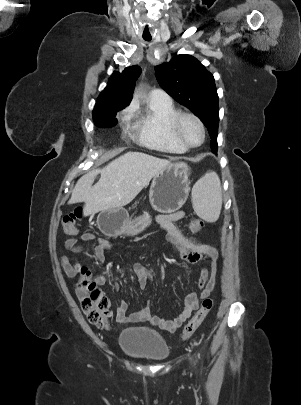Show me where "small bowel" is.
Segmentation results:
<instances>
[{
    "instance_id": "c3829d8e",
    "label": "small bowel",
    "mask_w": 301,
    "mask_h": 405,
    "mask_svg": "<svg viewBox=\"0 0 301 405\" xmlns=\"http://www.w3.org/2000/svg\"><path fill=\"white\" fill-rule=\"evenodd\" d=\"M184 216V211L159 214L157 222L167 232V241L177 250L181 259L190 264H196L200 261L207 262L199 278V294L196 292L188 294L184 299L182 311L172 319H164L152 315L149 306L127 314L128 304L125 301H120L115 312L118 322H149L151 325L158 326L165 331L174 332L198 308L200 300L205 299L211 294L216 281L218 251L214 246L197 243L180 232L175 222L183 219ZM80 241L94 243L93 257L99 264H103L105 261V251L113 248V245L106 238L97 237L91 233H82L77 237L67 239L65 241V248L70 249L73 254H78L82 252V247L79 245ZM59 260L66 274L69 276L76 275L82 269V266L75 259L71 260L65 255H61ZM133 269L140 287L145 288L148 282L153 279L152 273L139 263H135ZM94 281L97 285H104L110 281V276L108 274H101L96 276ZM114 288H117L116 284H114Z\"/></svg>"
}]
</instances>
